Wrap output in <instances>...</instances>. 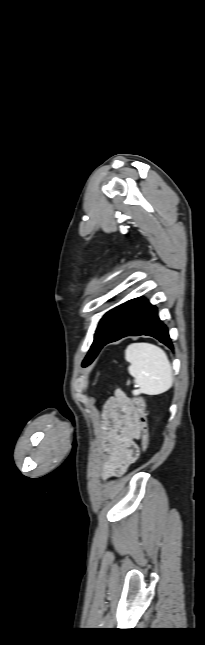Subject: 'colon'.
I'll list each match as a JSON object with an SVG mask.
<instances>
[{
  "label": "colon",
  "mask_w": 205,
  "mask_h": 645,
  "mask_svg": "<svg viewBox=\"0 0 205 645\" xmlns=\"http://www.w3.org/2000/svg\"><path fill=\"white\" fill-rule=\"evenodd\" d=\"M131 400L133 402V405L135 407V411L137 414L141 442H142V451L145 453L149 447V430H148V424H147V418H146L147 410H146L145 401L143 397L140 395H134Z\"/></svg>",
  "instance_id": "1"
}]
</instances>
